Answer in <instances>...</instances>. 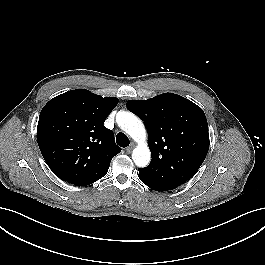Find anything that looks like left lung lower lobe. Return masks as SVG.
I'll list each match as a JSON object with an SVG mask.
<instances>
[{"label": "left lung lower lobe", "instance_id": "1", "mask_svg": "<svg viewBox=\"0 0 265 265\" xmlns=\"http://www.w3.org/2000/svg\"><path fill=\"white\" fill-rule=\"evenodd\" d=\"M139 179L145 184L147 185L148 187H150L151 189L155 190V191H168V190H172L170 188H166V187H163V186H160L144 177H142L140 174H139Z\"/></svg>", "mask_w": 265, "mask_h": 265}]
</instances>
